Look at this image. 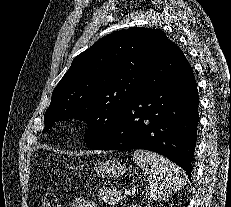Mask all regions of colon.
Returning <instances> with one entry per match:
<instances>
[{
    "instance_id": "5ec220e1",
    "label": "colon",
    "mask_w": 231,
    "mask_h": 207,
    "mask_svg": "<svg viewBox=\"0 0 231 207\" xmlns=\"http://www.w3.org/2000/svg\"><path fill=\"white\" fill-rule=\"evenodd\" d=\"M41 207H60L59 198L55 193H46L41 198Z\"/></svg>"
}]
</instances>
